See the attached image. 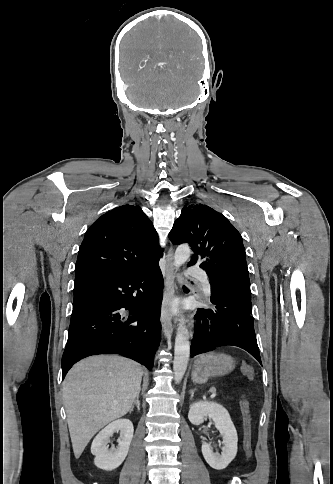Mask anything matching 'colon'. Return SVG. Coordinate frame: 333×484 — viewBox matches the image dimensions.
<instances>
[{"instance_id": "5ec220e1", "label": "colon", "mask_w": 333, "mask_h": 484, "mask_svg": "<svg viewBox=\"0 0 333 484\" xmlns=\"http://www.w3.org/2000/svg\"><path fill=\"white\" fill-rule=\"evenodd\" d=\"M241 372L244 376L251 379L254 376V370L251 365L247 363L241 364ZM241 411L243 415V424H244V451L247 458H250L252 455V446H251V412L250 406L248 401L245 398L241 399L240 402Z\"/></svg>"}]
</instances>
